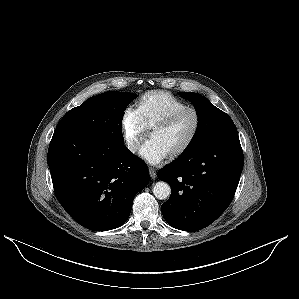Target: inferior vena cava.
I'll use <instances>...</instances> for the list:
<instances>
[{
	"label": "inferior vena cava",
	"mask_w": 299,
	"mask_h": 299,
	"mask_svg": "<svg viewBox=\"0 0 299 299\" xmlns=\"http://www.w3.org/2000/svg\"><path fill=\"white\" fill-rule=\"evenodd\" d=\"M128 147L131 151H136L138 149L137 145H134V144H130V145H128Z\"/></svg>",
	"instance_id": "1"
}]
</instances>
